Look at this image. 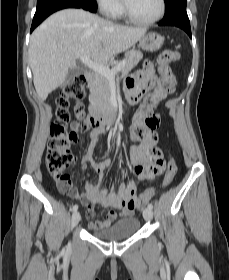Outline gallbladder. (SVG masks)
<instances>
[{"mask_svg": "<svg viewBox=\"0 0 229 280\" xmlns=\"http://www.w3.org/2000/svg\"><path fill=\"white\" fill-rule=\"evenodd\" d=\"M82 74V70L80 68H70L69 72L66 76V82H70L75 79V77Z\"/></svg>", "mask_w": 229, "mask_h": 280, "instance_id": "bac80fb5", "label": "gallbladder"}]
</instances>
